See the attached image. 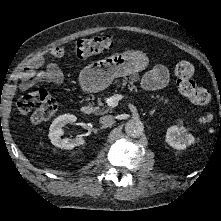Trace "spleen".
I'll use <instances>...</instances> for the list:
<instances>
[{
	"instance_id": "spleen-1",
	"label": "spleen",
	"mask_w": 221,
	"mask_h": 221,
	"mask_svg": "<svg viewBox=\"0 0 221 221\" xmlns=\"http://www.w3.org/2000/svg\"><path fill=\"white\" fill-rule=\"evenodd\" d=\"M212 119H213V115H212V114H209V115L207 116V118H200V119H199V122H200V123L211 122Z\"/></svg>"
}]
</instances>
